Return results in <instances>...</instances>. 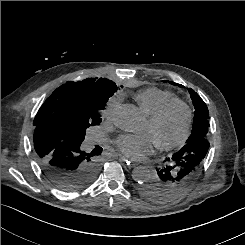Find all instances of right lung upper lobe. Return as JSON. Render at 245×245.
<instances>
[{
    "label": "right lung upper lobe",
    "mask_w": 245,
    "mask_h": 245,
    "mask_svg": "<svg viewBox=\"0 0 245 245\" xmlns=\"http://www.w3.org/2000/svg\"><path fill=\"white\" fill-rule=\"evenodd\" d=\"M113 88H117L116 84L106 78H87L61 85L47 98L36 114L33 122L34 139L49 134L64 141L50 126L49 117L93 108L100 97Z\"/></svg>",
    "instance_id": "cb5924a9"
}]
</instances>
